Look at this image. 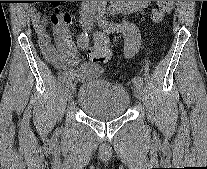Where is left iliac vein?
<instances>
[{
    "instance_id": "left-iliac-vein-1",
    "label": "left iliac vein",
    "mask_w": 207,
    "mask_h": 169,
    "mask_svg": "<svg viewBox=\"0 0 207 169\" xmlns=\"http://www.w3.org/2000/svg\"><path fill=\"white\" fill-rule=\"evenodd\" d=\"M134 94L136 96L137 99H141L143 92H142V87L140 85H136L134 88Z\"/></svg>"
}]
</instances>
